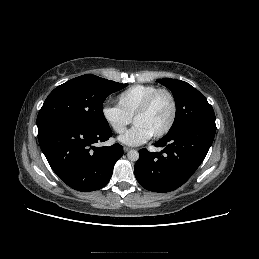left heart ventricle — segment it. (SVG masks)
<instances>
[{
    "label": "left heart ventricle",
    "instance_id": "b2bd125f",
    "mask_svg": "<svg viewBox=\"0 0 259 259\" xmlns=\"http://www.w3.org/2000/svg\"><path fill=\"white\" fill-rule=\"evenodd\" d=\"M172 114V103L166 94H160L151 105L149 111L135 120L136 125L145 128L151 135L162 130L169 122Z\"/></svg>",
    "mask_w": 259,
    "mask_h": 259
}]
</instances>
